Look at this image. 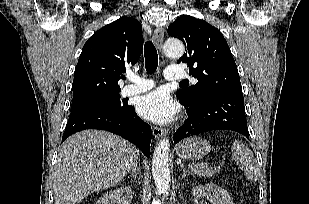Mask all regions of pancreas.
I'll use <instances>...</instances> for the list:
<instances>
[{"instance_id":"1","label":"pancreas","mask_w":309,"mask_h":204,"mask_svg":"<svg viewBox=\"0 0 309 204\" xmlns=\"http://www.w3.org/2000/svg\"><path fill=\"white\" fill-rule=\"evenodd\" d=\"M191 166L193 173L203 177L213 176L215 173L220 171V168H213L211 165L205 163L192 164Z\"/></svg>"}]
</instances>
